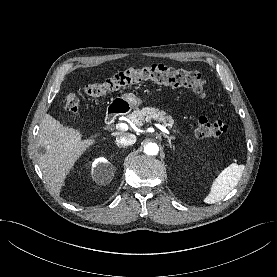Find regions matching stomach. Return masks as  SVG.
Segmentation results:
<instances>
[{"instance_id": "obj_1", "label": "stomach", "mask_w": 277, "mask_h": 277, "mask_svg": "<svg viewBox=\"0 0 277 277\" xmlns=\"http://www.w3.org/2000/svg\"><path fill=\"white\" fill-rule=\"evenodd\" d=\"M142 104V99L134 93H126L111 100L110 107L117 112L128 113Z\"/></svg>"}]
</instances>
